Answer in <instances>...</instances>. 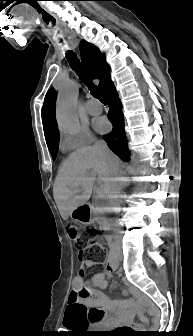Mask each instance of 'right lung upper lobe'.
Returning <instances> with one entry per match:
<instances>
[{
    "label": "right lung upper lobe",
    "instance_id": "obj_1",
    "mask_svg": "<svg viewBox=\"0 0 193 336\" xmlns=\"http://www.w3.org/2000/svg\"><path fill=\"white\" fill-rule=\"evenodd\" d=\"M80 51L82 54V63L93 78H100L99 87L103 90L108 82L111 81L110 69L103 55L96 46L85 40L80 42ZM55 101V92L53 89H50L45 96L42 107V122L46 142L59 136L55 121Z\"/></svg>",
    "mask_w": 193,
    "mask_h": 336
}]
</instances>
